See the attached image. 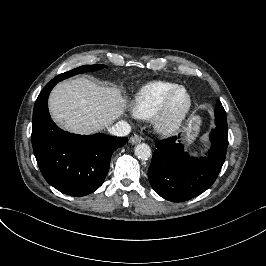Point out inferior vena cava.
<instances>
[{"mask_svg": "<svg viewBox=\"0 0 266 266\" xmlns=\"http://www.w3.org/2000/svg\"><path fill=\"white\" fill-rule=\"evenodd\" d=\"M108 132L109 134L116 136V137H125L130 134L131 132V127L130 125L124 121H118L113 125H110L108 127Z\"/></svg>", "mask_w": 266, "mask_h": 266, "instance_id": "602c4592", "label": "inferior vena cava"}]
</instances>
